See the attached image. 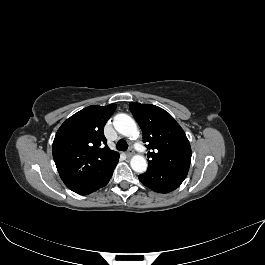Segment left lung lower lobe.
<instances>
[{"mask_svg":"<svg viewBox=\"0 0 265 265\" xmlns=\"http://www.w3.org/2000/svg\"><path fill=\"white\" fill-rule=\"evenodd\" d=\"M184 172H160L147 170L138 176L139 180L146 187L159 192L168 193L180 186L186 178Z\"/></svg>","mask_w":265,"mask_h":265,"instance_id":"left-lung-lower-lobe-1","label":"left lung lower lobe"}]
</instances>
